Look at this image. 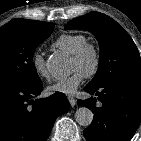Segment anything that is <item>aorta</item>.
Listing matches in <instances>:
<instances>
[{
	"label": "aorta",
	"instance_id": "762f6f07",
	"mask_svg": "<svg viewBox=\"0 0 141 141\" xmlns=\"http://www.w3.org/2000/svg\"><path fill=\"white\" fill-rule=\"evenodd\" d=\"M46 66L48 71L56 78H64L70 73L69 61L64 56H50ZM93 116L92 111L86 107H80L75 112V120L81 126H89L93 121Z\"/></svg>",
	"mask_w": 141,
	"mask_h": 141
}]
</instances>
